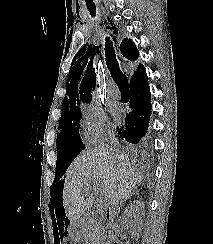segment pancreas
Instances as JSON below:
<instances>
[{
  "label": "pancreas",
  "mask_w": 213,
  "mask_h": 244,
  "mask_svg": "<svg viewBox=\"0 0 213 244\" xmlns=\"http://www.w3.org/2000/svg\"><path fill=\"white\" fill-rule=\"evenodd\" d=\"M103 231L104 229L98 221H90L85 228L86 238L92 242L90 244H95L102 238Z\"/></svg>",
  "instance_id": "pancreas-1"
}]
</instances>
